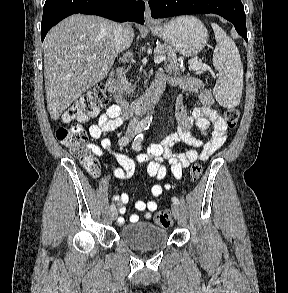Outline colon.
Masks as SVG:
<instances>
[{"mask_svg": "<svg viewBox=\"0 0 288 293\" xmlns=\"http://www.w3.org/2000/svg\"><path fill=\"white\" fill-rule=\"evenodd\" d=\"M108 101V94L101 84L94 86L61 115V124L56 129V138L74 156L91 175H97L100 169L97 158L90 151L88 134L82 123L98 113ZM240 118L237 108H229L223 114V120L228 128H234ZM202 175V166L198 163L190 169V179L197 182ZM155 223L168 228L171 225V215L167 210H161L155 216Z\"/></svg>", "mask_w": 288, "mask_h": 293, "instance_id": "colon-1", "label": "colon"}]
</instances>
